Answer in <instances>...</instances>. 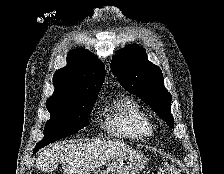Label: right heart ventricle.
<instances>
[{
    "label": "right heart ventricle",
    "mask_w": 224,
    "mask_h": 174,
    "mask_svg": "<svg viewBox=\"0 0 224 174\" xmlns=\"http://www.w3.org/2000/svg\"><path fill=\"white\" fill-rule=\"evenodd\" d=\"M105 126L114 136L131 140H145L153 134L149 117L129 97L118 98L106 108Z\"/></svg>",
    "instance_id": "1"
}]
</instances>
